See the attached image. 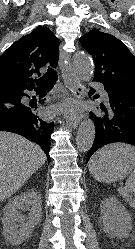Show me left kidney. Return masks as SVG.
<instances>
[{"label":"left kidney","instance_id":"5707ae66","mask_svg":"<svg viewBox=\"0 0 135 249\" xmlns=\"http://www.w3.org/2000/svg\"><path fill=\"white\" fill-rule=\"evenodd\" d=\"M103 229L112 237L126 238L132 229L131 217L125 207L114 197L100 204Z\"/></svg>","mask_w":135,"mask_h":249}]
</instances>
